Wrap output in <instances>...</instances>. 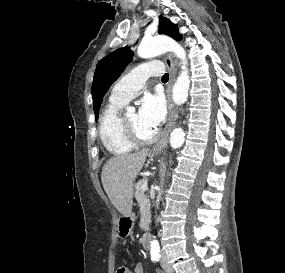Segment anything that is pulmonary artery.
<instances>
[{
    "label": "pulmonary artery",
    "mask_w": 285,
    "mask_h": 273,
    "mask_svg": "<svg viewBox=\"0 0 285 273\" xmlns=\"http://www.w3.org/2000/svg\"><path fill=\"white\" fill-rule=\"evenodd\" d=\"M164 70V65L159 61H148L138 65L114 85L110 101L128 102L140 92L149 77L161 76Z\"/></svg>",
    "instance_id": "pulmonary-artery-1"
}]
</instances>
